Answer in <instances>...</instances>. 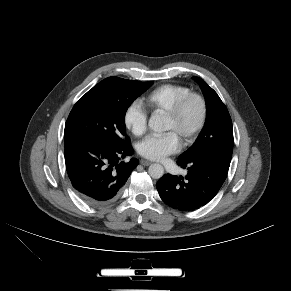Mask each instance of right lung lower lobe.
Segmentation results:
<instances>
[{"mask_svg": "<svg viewBox=\"0 0 291 291\" xmlns=\"http://www.w3.org/2000/svg\"><path fill=\"white\" fill-rule=\"evenodd\" d=\"M133 154L128 142H103L76 139L65 143V163L68 176L78 196L92 206L113 201L138 160L119 162Z\"/></svg>", "mask_w": 291, "mask_h": 291, "instance_id": "obj_1", "label": "right lung lower lobe"}]
</instances>
